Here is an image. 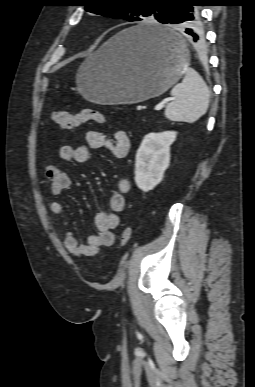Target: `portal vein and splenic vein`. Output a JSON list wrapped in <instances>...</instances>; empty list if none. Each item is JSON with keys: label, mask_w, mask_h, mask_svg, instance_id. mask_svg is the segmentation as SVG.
I'll use <instances>...</instances> for the list:
<instances>
[{"label": "portal vein and splenic vein", "mask_w": 255, "mask_h": 387, "mask_svg": "<svg viewBox=\"0 0 255 387\" xmlns=\"http://www.w3.org/2000/svg\"><path fill=\"white\" fill-rule=\"evenodd\" d=\"M170 100H172V98H170L169 101H170ZM163 107H164V103H159V104H157V105L155 106L154 109H155L156 111H159V110L163 109Z\"/></svg>", "instance_id": "obj_1"}]
</instances>
